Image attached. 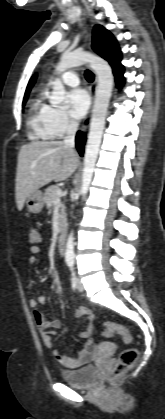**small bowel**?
<instances>
[{
    "instance_id": "c3829d8e",
    "label": "small bowel",
    "mask_w": 165,
    "mask_h": 419,
    "mask_svg": "<svg viewBox=\"0 0 165 419\" xmlns=\"http://www.w3.org/2000/svg\"><path fill=\"white\" fill-rule=\"evenodd\" d=\"M37 233L35 230H31ZM30 231V232H31ZM29 232V233H30ZM38 235V233H37ZM39 238V235H38ZM31 242V241H30ZM40 238L37 243H32L30 247V257L28 263L34 265L37 262V256L41 253L39 246ZM45 302V297L40 296L30 300V307L33 309L34 320L40 331L42 341L46 347L52 350V355L55 360L68 368H79L96 357V343L92 337L94 315L86 307H80L77 310V316L86 319V328L81 333V337L85 340V347L76 357H68L60 352L59 349L53 346V331L59 330L62 327V322L58 319H47L39 310V306Z\"/></svg>"
}]
</instances>
